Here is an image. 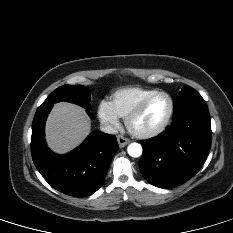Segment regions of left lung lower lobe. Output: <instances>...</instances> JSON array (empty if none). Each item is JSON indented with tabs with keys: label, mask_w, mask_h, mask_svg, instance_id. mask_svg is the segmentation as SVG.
I'll return each mask as SVG.
<instances>
[{
	"label": "left lung lower lobe",
	"mask_w": 233,
	"mask_h": 233,
	"mask_svg": "<svg viewBox=\"0 0 233 233\" xmlns=\"http://www.w3.org/2000/svg\"><path fill=\"white\" fill-rule=\"evenodd\" d=\"M211 121L207 107H193L173 116L171 126L143 140L141 173L160 188L178 186L202 167L211 148Z\"/></svg>",
	"instance_id": "left-lung-lower-lobe-1"
}]
</instances>
